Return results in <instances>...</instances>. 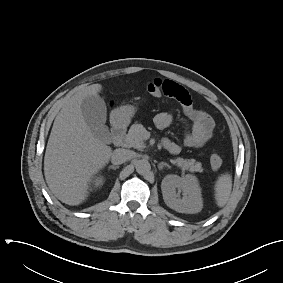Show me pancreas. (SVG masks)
<instances>
[{
	"label": "pancreas",
	"mask_w": 283,
	"mask_h": 283,
	"mask_svg": "<svg viewBox=\"0 0 283 283\" xmlns=\"http://www.w3.org/2000/svg\"><path fill=\"white\" fill-rule=\"evenodd\" d=\"M145 131L146 129L142 124H133L124 139V146L128 148L133 147L138 150H143L146 147L143 137ZM171 162L191 172L203 171L202 164L200 162H197L195 159H183L178 157L174 160H171Z\"/></svg>",
	"instance_id": "obj_1"
}]
</instances>
